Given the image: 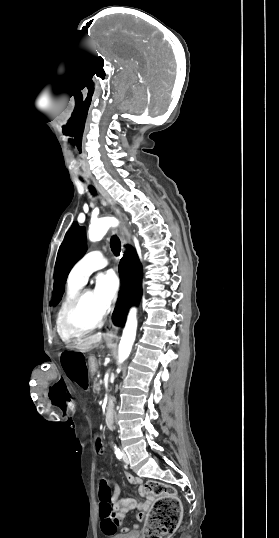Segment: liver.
<instances>
[{
	"instance_id": "6515ba94",
	"label": "liver",
	"mask_w": 279,
	"mask_h": 538,
	"mask_svg": "<svg viewBox=\"0 0 279 538\" xmlns=\"http://www.w3.org/2000/svg\"><path fill=\"white\" fill-rule=\"evenodd\" d=\"M101 340V334H95V336H90V338H86L83 344H80V346H76V348L77 350H80V352H88V350L94 348L93 344H98V342H101Z\"/></svg>"
}]
</instances>
